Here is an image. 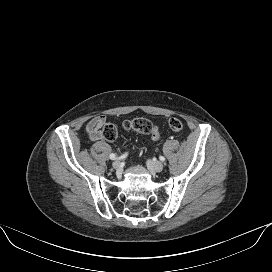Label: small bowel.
<instances>
[{"mask_svg": "<svg viewBox=\"0 0 272 272\" xmlns=\"http://www.w3.org/2000/svg\"><path fill=\"white\" fill-rule=\"evenodd\" d=\"M106 124V117L96 115L90 119L86 125V132L92 141H101L103 137V128Z\"/></svg>", "mask_w": 272, "mask_h": 272, "instance_id": "small-bowel-1", "label": "small bowel"}]
</instances>
